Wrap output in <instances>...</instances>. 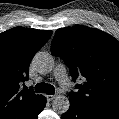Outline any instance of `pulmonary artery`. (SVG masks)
<instances>
[{"mask_svg":"<svg viewBox=\"0 0 119 119\" xmlns=\"http://www.w3.org/2000/svg\"><path fill=\"white\" fill-rule=\"evenodd\" d=\"M54 75L62 85V87L67 88L69 86V81L66 75L65 68L62 65H58L54 70Z\"/></svg>","mask_w":119,"mask_h":119,"instance_id":"obj_1","label":"pulmonary artery"}]
</instances>
